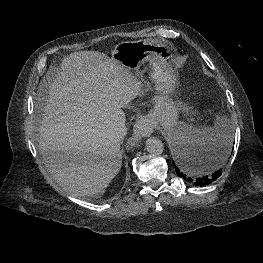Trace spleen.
Returning <instances> with one entry per match:
<instances>
[{
  "label": "spleen",
  "mask_w": 263,
  "mask_h": 263,
  "mask_svg": "<svg viewBox=\"0 0 263 263\" xmlns=\"http://www.w3.org/2000/svg\"><path fill=\"white\" fill-rule=\"evenodd\" d=\"M169 140L176 151L207 152L203 169L214 170L222 167L227 160L233 140V127L225 118L216 119L213 127L198 128L180 123Z\"/></svg>",
  "instance_id": "spleen-1"
}]
</instances>
